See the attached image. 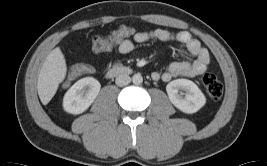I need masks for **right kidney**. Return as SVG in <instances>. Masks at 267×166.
I'll use <instances>...</instances> for the list:
<instances>
[{"mask_svg":"<svg viewBox=\"0 0 267 166\" xmlns=\"http://www.w3.org/2000/svg\"><path fill=\"white\" fill-rule=\"evenodd\" d=\"M100 88L101 84L93 77L78 80L64 96V110L75 115L84 112L93 103Z\"/></svg>","mask_w":267,"mask_h":166,"instance_id":"ca27d5eb","label":"right kidney"}]
</instances>
